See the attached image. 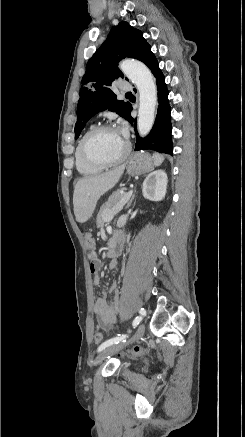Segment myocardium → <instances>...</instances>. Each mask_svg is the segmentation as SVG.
<instances>
[{
    "label": "myocardium",
    "instance_id": "myocardium-1",
    "mask_svg": "<svg viewBox=\"0 0 245 437\" xmlns=\"http://www.w3.org/2000/svg\"><path fill=\"white\" fill-rule=\"evenodd\" d=\"M107 130H117V128L111 124H100V125L92 127L82 137L81 144H80L81 153H82L83 158L91 165L101 167V168L115 166V165L122 163L124 160H126L130 154L131 144L128 140H126V148H125L124 153L120 157H118L117 159L105 161V160L97 159L90 154V152L88 150L89 141L95 135H97L103 131H107Z\"/></svg>",
    "mask_w": 245,
    "mask_h": 437
}]
</instances>
